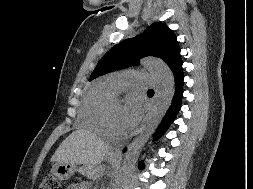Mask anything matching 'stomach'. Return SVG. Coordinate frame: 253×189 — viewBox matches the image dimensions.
Masks as SVG:
<instances>
[{
	"label": "stomach",
	"mask_w": 253,
	"mask_h": 189,
	"mask_svg": "<svg viewBox=\"0 0 253 189\" xmlns=\"http://www.w3.org/2000/svg\"><path fill=\"white\" fill-rule=\"evenodd\" d=\"M115 159L109 157V161L113 162ZM76 171V164L74 163H60L56 162L52 167V173L59 180H68Z\"/></svg>",
	"instance_id": "0dacf381"
}]
</instances>
